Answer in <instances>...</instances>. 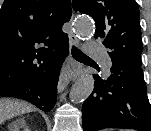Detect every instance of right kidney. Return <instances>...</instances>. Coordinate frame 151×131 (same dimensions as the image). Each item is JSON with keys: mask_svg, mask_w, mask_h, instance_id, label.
<instances>
[{"mask_svg": "<svg viewBox=\"0 0 151 131\" xmlns=\"http://www.w3.org/2000/svg\"><path fill=\"white\" fill-rule=\"evenodd\" d=\"M19 128H20V122L16 121V122L13 123V125L11 127V130H13V131H19Z\"/></svg>", "mask_w": 151, "mask_h": 131, "instance_id": "right-kidney-1", "label": "right kidney"}]
</instances>
